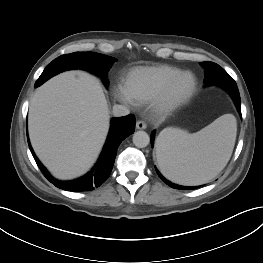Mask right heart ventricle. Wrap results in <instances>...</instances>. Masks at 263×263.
<instances>
[{"label":"right heart ventricle","mask_w":263,"mask_h":263,"mask_svg":"<svg viewBox=\"0 0 263 263\" xmlns=\"http://www.w3.org/2000/svg\"><path fill=\"white\" fill-rule=\"evenodd\" d=\"M180 72V68L167 64L137 67L126 75L124 89L131 102L145 104Z\"/></svg>","instance_id":"1"}]
</instances>
